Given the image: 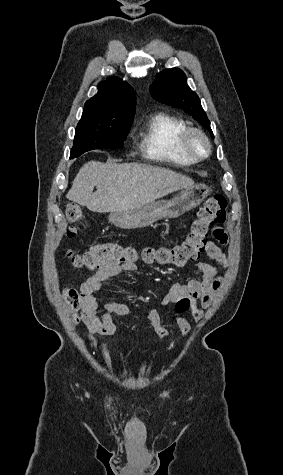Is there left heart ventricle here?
Listing matches in <instances>:
<instances>
[{"instance_id": "left-heart-ventricle-1", "label": "left heart ventricle", "mask_w": 283, "mask_h": 475, "mask_svg": "<svg viewBox=\"0 0 283 475\" xmlns=\"http://www.w3.org/2000/svg\"><path fill=\"white\" fill-rule=\"evenodd\" d=\"M191 146L195 151L200 152V153H203L206 150L205 143L203 142L202 139H200L197 136H194L192 138ZM171 151H173V150L171 149Z\"/></svg>"}]
</instances>
